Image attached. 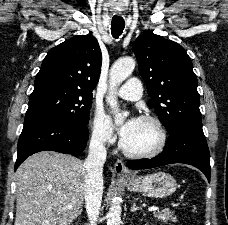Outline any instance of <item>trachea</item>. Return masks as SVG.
Returning a JSON list of instances; mask_svg holds the SVG:
<instances>
[{
  "label": "trachea",
  "mask_w": 228,
  "mask_h": 225,
  "mask_svg": "<svg viewBox=\"0 0 228 225\" xmlns=\"http://www.w3.org/2000/svg\"><path fill=\"white\" fill-rule=\"evenodd\" d=\"M124 27H125V21L123 18L121 17L112 18L111 33L114 38H118L122 34Z\"/></svg>",
  "instance_id": "obj_1"
}]
</instances>
